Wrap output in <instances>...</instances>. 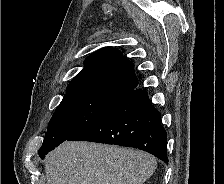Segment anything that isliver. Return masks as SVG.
Wrapping results in <instances>:
<instances>
[{
	"label": "liver",
	"instance_id": "6515ba94",
	"mask_svg": "<svg viewBox=\"0 0 224 184\" xmlns=\"http://www.w3.org/2000/svg\"><path fill=\"white\" fill-rule=\"evenodd\" d=\"M154 157L113 145L66 141L45 158L48 184H143Z\"/></svg>",
	"mask_w": 224,
	"mask_h": 184
}]
</instances>
